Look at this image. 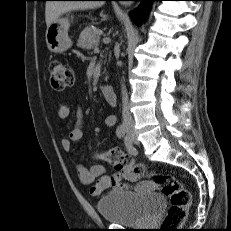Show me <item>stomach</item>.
<instances>
[{
	"label": "stomach",
	"instance_id": "0dacf381",
	"mask_svg": "<svg viewBox=\"0 0 231 231\" xmlns=\"http://www.w3.org/2000/svg\"><path fill=\"white\" fill-rule=\"evenodd\" d=\"M70 24L71 21L68 16L58 17L47 27L46 44L51 52L62 53L72 46V41L68 35Z\"/></svg>",
	"mask_w": 231,
	"mask_h": 231
}]
</instances>
